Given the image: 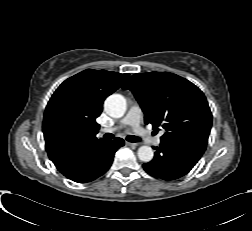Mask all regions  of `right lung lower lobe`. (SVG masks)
Instances as JSON below:
<instances>
[{
  "label": "right lung lower lobe",
  "instance_id": "right-lung-lower-lobe-1",
  "mask_svg": "<svg viewBox=\"0 0 252 231\" xmlns=\"http://www.w3.org/2000/svg\"><path fill=\"white\" fill-rule=\"evenodd\" d=\"M123 145L124 140L116 138L87 148L81 155L75 173L68 178L78 183L95 180L110 168L115 152Z\"/></svg>",
  "mask_w": 252,
  "mask_h": 231
}]
</instances>
